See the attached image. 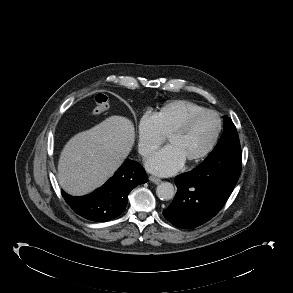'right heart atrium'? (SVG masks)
<instances>
[{
	"label": "right heart atrium",
	"instance_id": "obj_1",
	"mask_svg": "<svg viewBox=\"0 0 293 293\" xmlns=\"http://www.w3.org/2000/svg\"><path fill=\"white\" fill-rule=\"evenodd\" d=\"M164 140L153 114L144 113L137 124L138 150L143 157H148Z\"/></svg>",
	"mask_w": 293,
	"mask_h": 293
}]
</instances>
